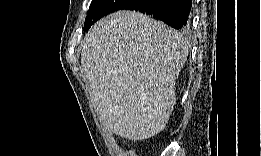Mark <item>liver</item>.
Returning a JSON list of instances; mask_svg holds the SVG:
<instances>
[{
  "label": "liver",
  "instance_id": "6515ba94",
  "mask_svg": "<svg viewBox=\"0 0 261 156\" xmlns=\"http://www.w3.org/2000/svg\"><path fill=\"white\" fill-rule=\"evenodd\" d=\"M81 48V68L101 123L133 141L160 133L176 103L188 41L161 21L117 11L90 28Z\"/></svg>",
  "mask_w": 261,
  "mask_h": 156
}]
</instances>
